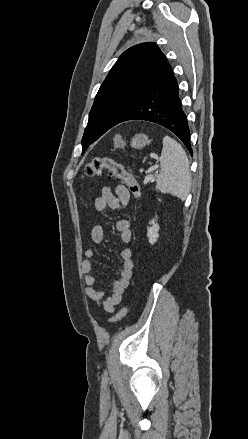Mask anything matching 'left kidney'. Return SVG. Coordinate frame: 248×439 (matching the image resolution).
<instances>
[{
    "mask_svg": "<svg viewBox=\"0 0 248 439\" xmlns=\"http://www.w3.org/2000/svg\"><path fill=\"white\" fill-rule=\"evenodd\" d=\"M156 219H157V217L155 219H152L150 221V225H152V226L147 228V237H148L149 243L151 245H153L159 237V234H158L159 225H158Z\"/></svg>",
    "mask_w": 248,
    "mask_h": 439,
    "instance_id": "5707ae66",
    "label": "left kidney"
}]
</instances>
